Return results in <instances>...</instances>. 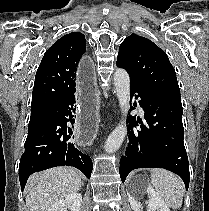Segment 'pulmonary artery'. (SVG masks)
Wrapping results in <instances>:
<instances>
[{
    "label": "pulmonary artery",
    "instance_id": "pulmonary-artery-1",
    "mask_svg": "<svg viewBox=\"0 0 209 211\" xmlns=\"http://www.w3.org/2000/svg\"><path fill=\"white\" fill-rule=\"evenodd\" d=\"M139 110L141 111V112H143V109L139 106Z\"/></svg>",
    "mask_w": 209,
    "mask_h": 211
}]
</instances>
